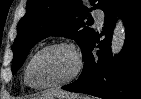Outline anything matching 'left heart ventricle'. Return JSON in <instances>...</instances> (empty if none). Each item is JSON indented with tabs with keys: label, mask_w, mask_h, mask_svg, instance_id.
<instances>
[{
	"label": "left heart ventricle",
	"mask_w": 141,
	"mask_h": 99,
	"mask_svg": "<svg viewBox=\"0 0 141 99\" xmlns=\"http://www.w3.org/2000/svg\"><path fill=\"white\" fill-rule=\"evenodd\" d=\"M75 67V58L69 49L53 48L36 58L30 70V78L37 85L52 84L69 77Z\"/></svg>",
	"instance_id": "b2bd125f"
}]
</instances>
